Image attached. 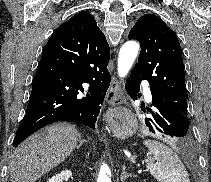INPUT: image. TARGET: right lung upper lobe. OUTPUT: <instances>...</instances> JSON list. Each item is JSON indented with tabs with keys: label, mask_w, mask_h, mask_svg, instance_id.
I'll return each instance as SVG.
<instances>
[{
	"label": "right lung upper lobe",
	"mask_w": 211,
	"mask_h": 182,
	"mask_svg": "<svg viewBox=\"0 0 211 182\" xmlns=\"http://www.w3.org/2000/svg\"><path fill=\"white\" fill-rule=\"evenodd\" d=\"M64 27L73 36L76 44L101 46L110 52L106 37L97 25L95 18L88 12H80L63 23ZM59 27V28H60Z\"/></svg>",
	"instance_id": "obj_1"
}]
</instances>
